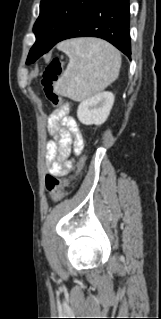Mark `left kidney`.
Wrapping results in <instances>:
<instances>
[{
    "label": "left kidney",
    "mask_w": 161,
    "mask_h": 319,
    "mask_svg": "<svg viewBox=\"0 0 161 319\" xmlns=\"http://www.w3.org/2000/svg\"><path fill=\"white\" fill-rule=\"evenodd\" d=\"M113 103V93L102 92L96 94L79 104L77 117L85 125H101L107 120Z\"/></svg>",
    "instance_id": "left-kidney-1"
}]
</instances>
